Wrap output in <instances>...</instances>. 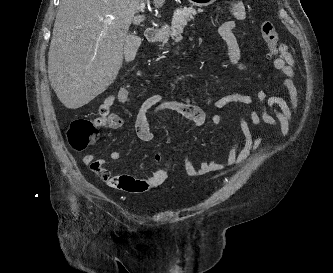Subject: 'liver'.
<instances>
[{
	"mask_svg": "<svg viewBox=\"0 0 333 273\" xmlns=\"http://www.w3.org/2000/svg\"><path fill=\"white\" fill-rule=\"evenodd\" d=\"M145 0H62L48 53V75L58 99L78 109L104 92L123 64L124 43ZM165 0H153L156 8Z\"/></svg>",
	"mask_w": 333,
	"mask_h": 273,
	"instance_id": "6515ba94",
	"label": "liver"
}]
</instances>
